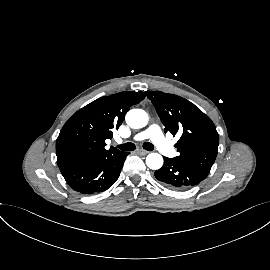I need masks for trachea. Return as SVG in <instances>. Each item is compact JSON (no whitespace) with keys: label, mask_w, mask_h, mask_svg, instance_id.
<instances>
[{"label":"trachea","mask_w":270,"mask_h":270,"mask_svg":"<svg viewBox=\"0 0 270 270\" xmlns=\"http://www.w3.org/2000/svg\"><path fill=\"white\" fill-rule=\"evenodd\" d=\"M118 148L122 151H133L135 149V145L133 143H125L119 145ZM143 148L145 150L152 151L154 149V146L151 143L146 142L143 144Z\"/></svg>","instance_id":"obj_1"}]
</instances>
